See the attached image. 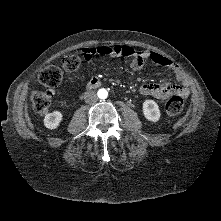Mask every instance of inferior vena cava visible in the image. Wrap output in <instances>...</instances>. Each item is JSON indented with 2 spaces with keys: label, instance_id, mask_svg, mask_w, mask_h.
Segmentation results:
<instances>
[{
  "label": "inferior vena cava",
  "instance_id": "inferior-vena-cava-1",
  "mask_svg": "<svg viewBox=\"0 0 221 221\" xmlns=\"http://www.w3.org/2000/svg\"><path fill=\"white\" fill-rule=\"evenodd\" d=\"M97 99V94L94 91H87L84 93V100L86 103H94Z\"/></svg>",
  "mask_w": 221,
  "mask_h": 221
}]
</instances>
